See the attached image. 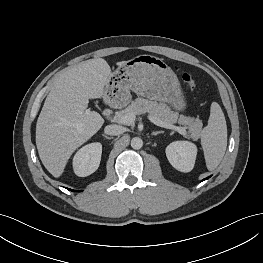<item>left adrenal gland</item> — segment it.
<instances>
[{"label":"left adrenal gland","instance_id":"a2214340","mask_svg":"<svg viewBox=\"0 0 263 263\" xmlns=\"http://www.w3.org/2000/svg\"><path fill=\"white\" fill-rule=\"evenodd\" d=\"M161 133H164V131H156V132H152L151 135L156 136V135L161 134Z\"/></svg>","mask_w":263,"mask_h":263}]
</instances>
